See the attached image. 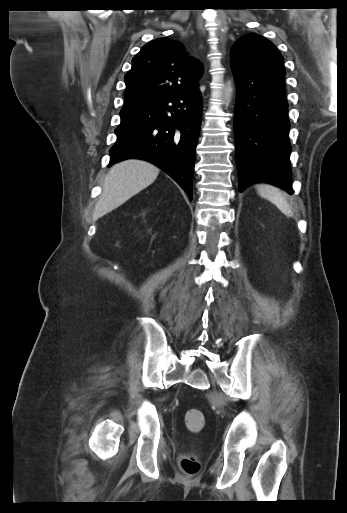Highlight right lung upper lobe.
Here are the masks:
<instances>
[{"mask_svg":"<svg viewBox=\"0 0 347 513\" xmlns=\"http://www.w3.org/2000/svg\"><path fill=\"white\" fill-rule=\"evenodd\" d=\"M201 74V64L187 56L180 42L169 38L153 40L133 58L132 68L125 75L123 110L198 90Z\"/></svg>","mask_w":347,"mask_h":513,"instance_id":"obj_1","label":"right lung upper lobe"}]
</instances>
